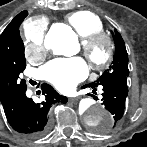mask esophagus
<instances>
[{
  "label": "esophagus",
  "mask_w": 147,
  "mask_h": 147,
  "mask_svg": "<svg viewBox=\"0 0 147 147\" xmlns=\"http://www.w3.org/2000/svg\"><path fill=\"white\" fill-rule=\"evenodd\" d=\"M78 99L77 98H69L70 102H76Z\"/></svg>",
  "instance_id": "obj_1"
}]
</instances>
